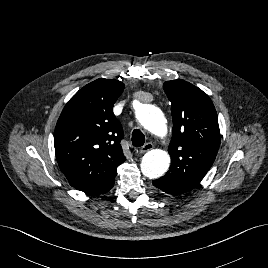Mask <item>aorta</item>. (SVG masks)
<instances>
[{"label":"aorta","mask_w":268,"mask_h":268,"mask_svg":"<svg viewBox=\"0 0 268 268\" xmlns=\"http://www.w3.org/2000/svg\"><path fill=\"white\" fill-rule=\"evenodd\" d=\"M136 117L150 133L159 137L166 135V119L158 107L145 104L137 111ZM169 165V154L163 150L154 149L143 156L140 167L143 175L150 179H157L165 174Z\"/></svg>","instance_id":"aorta-1"}]
</instances>
